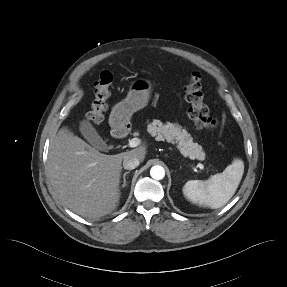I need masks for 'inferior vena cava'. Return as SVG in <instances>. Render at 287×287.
<instances>
[{"label":"inferior vena cava","instance_id":"602c4592","mask_svg":"<svg viewBox=\"0 0 287 287\" xmlns=\"http://www.w3.org/2000/svg\"><path fill=\"white\" fill-rule=\"evenodd\" d=\"M140 161L137 157L128 155L123 160V167L127 170L135 169L137 166H139Z\"/></svg>","mask_w":287,"mask_h":287}]
</instances>
